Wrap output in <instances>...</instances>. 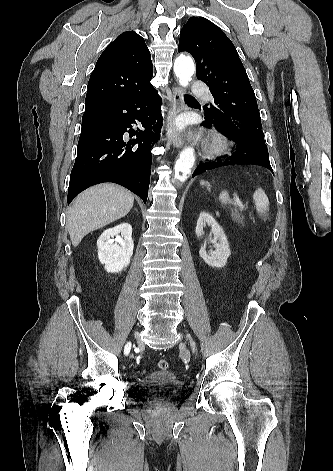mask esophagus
<instances>
[{"label": "esophagus", "mask_w": 333, "mask_h": 471, "mask_svg": "<svg viewBox=\"0 0 333 471\" xmlns=\"http://www.w3.org/2000/svg\"><path fill=\"white\" fill-rule=\"evenodd\" d=\"M183 110V90L178 86H174L172 89V107L169 112L167 123V139L176 148H181L184 143L182 134H180L175 127L176 116Z\"/></svg>", "instance_id": "34e87169"}]
</instances>
